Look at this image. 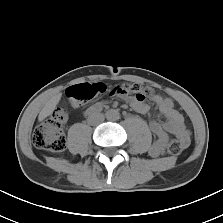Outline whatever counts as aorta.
I'll return each mask as SVG.
<instances>
[{"instance_id": "1", "label": "aorta", "mask_w": 223, "mask_h": 223, "mask_svg": "<svg viewBox=\"0 0 223 223\" xmlns=\"http://www.w3.org/2000/svg\"><path fill=\"white\" fill-rule=\"evenodd\" d=\"M106 118L110 121H115L119 118V113L116 110H108L106 112Z\"/></svg>"}]
</instances>
